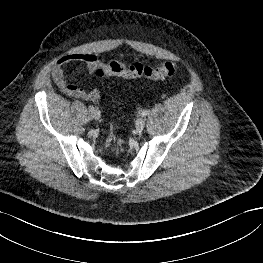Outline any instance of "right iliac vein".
<instances>
[{"label":"right iliac vein","instance_id":"right-iliac-vein-1","mask_svg":"<svg viewBox=\"0 0 263 263\" xmlns=\"http://www.w3.org/2000/svg\"><path fill=\"white\" fill-rule=\"evenodd\" d=\"M91 116L95 119L98 120L101 117L100 111L95 109L94 111H92Z\"/></svg>","mask_w":263,"mask_h":263}]
</instances>
